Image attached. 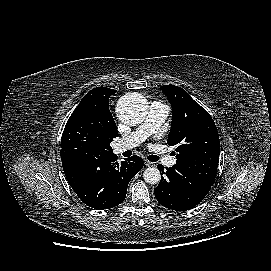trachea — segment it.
Here are the masks:
<instances>
[{"label":"trachea","instance_id":"1","mask_svg":"<svg viewBox=\"0 0 271 271\" xmlns=\"http://www.w3.org/2000/svg\"><path fill=\"white\" fill-rule=\"evenodd\" d=\"M148 160L151 161V162H156V161L159 160V157L156 156V155H150V156L148 157Z\"/></svg>","mask_w":271,"mask_h":271}]
</instances>
